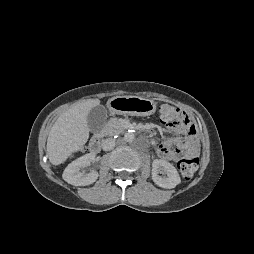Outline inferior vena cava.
<instances>
[{"mask_svg":"<svg viewBox=\"0 0 254 254\" xmlns=\"http://www.w3.org/2000/svg\"><path fill=\"white\" fill-rule=\"evenodd\" d=\"M115 147V140L113 138H108L102 141V149L104 151H110Z\"/></svg>","mask_w":254,"mask_h":254,"instance_id":"1","label":"inferior vena cava"}]
</instances>
